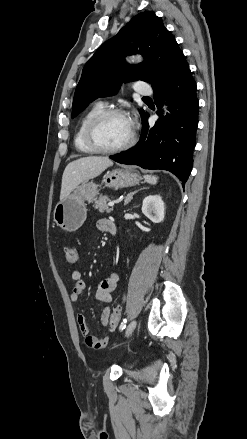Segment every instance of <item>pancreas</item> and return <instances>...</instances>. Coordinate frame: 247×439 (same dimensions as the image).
I'll return each instance as SVG.
<instances>
[{
  "label": "pancreas",
  "mask_w": 247,
  "mask_h": 439,
  "mask_svg": "<svg viewBox=\"0 0 247 439\" xmlns=\"http://www.w3.org/2000/svg\"><path fill=\"white\" fill-rule=\"evenodd\" d=\"M108 201H109L108 196L101 195L98 198V200L95 201L93 207L101 213H103V212L109 213L112 211V209L108 207V204H107Z\"/></svg>",
  "instance_id": "obj_1"
}]
</instances>
